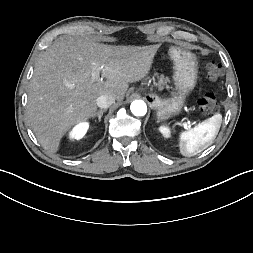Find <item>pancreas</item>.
<instances>
[{"instance_id": "obj_1", "label": "pancreas", "mask_w": 253, "mask_h": 253, "mask_svg": "<svg viewBox=\"0 0 253 253\" xmlns=\"http://www.w3.org/2000/svg\"><path fill=\"white\" fill-rule=\"evenodd\" d=\"M157 78H158V81H155V79L153 78V81H154V85L155 86H163V85H166L167 84V79H165L163 76H158L157 75Z\"/></svg>"}]
</instances>
